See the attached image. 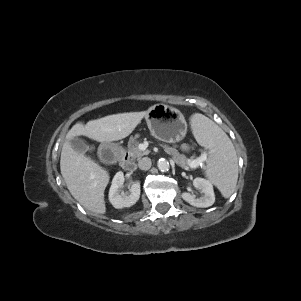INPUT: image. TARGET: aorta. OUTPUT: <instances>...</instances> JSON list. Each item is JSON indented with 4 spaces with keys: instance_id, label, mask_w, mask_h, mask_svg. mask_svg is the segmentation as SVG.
Returning a JSON list of instances; mask_svg holds the SVG:
<instances>
[{
    "instance_id": "aorta-1",
    "label": "aorta",
    "mask_w": 301,
    "mask_h": 301,
    "mask_svg": "<svg viewBox=\"0 0 301 301\" xmlns=\"http://www.w3.org/2000/svg\"><path fill=\"white\" fill-rule=\"evenodd\" d=\"M158 169L162 172H166L170 168L169 161L165 158H160L157 163Z\"/></svg>"
}]
</instances>
